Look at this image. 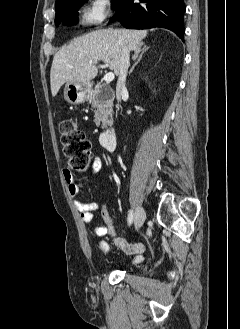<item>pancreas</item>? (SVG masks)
<instances>
[{
	"label": "pancreas",
	"mask_w": 240,
	"mask_h": 329,
	"mask_svg": "<svg viewBox=\"0 0 240 329\" xmlns=\"http://www.w3.org/2000/svg\"><path fill=\"white\" fill-rule=\"evenodd\" d=\"M90 104L96 109L94 111L95 124L97 126L102 124L101 127L106 128L111 123L112 119L113 99L107 94H104L103 90L98 87L92 93Z\"/></svg>",
	"instance_id": "pancreas-1"
}]
</instances>
